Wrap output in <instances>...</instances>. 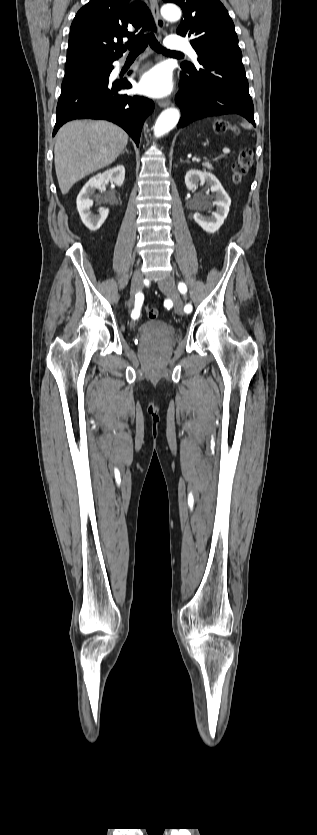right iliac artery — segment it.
Listing matches in <instances>:
<instances>
[{
	"instance_id": "obj_1",
	"label": "right iliac artery",
	"mask_w": 317,
	"mask_h": 835,
	"mask_svg": "<svg viewBox=\"0 0 317 835\" xmlns=\"http://www.w3.org/2000/svg\"><path fill=\"white\" fill-rule=\"evenodd\" d=\"M144 301V296L142 293H137L135 295V307L132 310L131 317L133 319H137L140 315V309Z\"/></svg>"
}]
</instances>
